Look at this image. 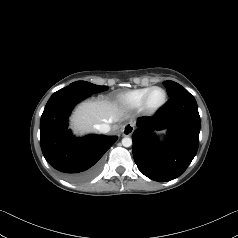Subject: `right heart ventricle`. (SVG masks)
<instances>
[{"label": "right heart ventricle", "instance_id": "right-heart-ventricle-1", "mask_svg": "<svg viewBox=\"0 0 238 238\" xmlns=\"http://www.w3.org/2000/svg\"><path fill=\"white\" fill-rule=\"evenodd\" d=\"M151 87L138 88L128 91L118 97V101L123 106L130 109L140 108L142 101Z\"/></svg>", "mask_w": 238, "mask_h": 238}]
</instances>
